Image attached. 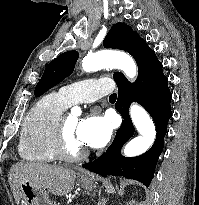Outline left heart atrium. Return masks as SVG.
I'll use <instances>...</instances> for the list:
<instances>
[{
    "label": "left heart atrium",
    "mask_w": 199,
    "mask_h": 205,
    "mask_svg": "<svg viewBox=\"0 0 199 205\" xmlns=\"http://www.w3.org/2000/svg\"><path fill=\"white\" fill-rule=\"evenodd\" d=\"M114 123L106 116L92 115L79 123L77 135L83 145L100 148L111 138Z\"/></svg>",
    "instance_id": "obj_1"
}]
</instances>
